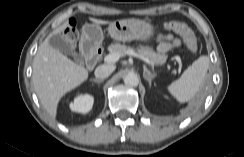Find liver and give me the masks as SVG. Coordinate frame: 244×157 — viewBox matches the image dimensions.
Here are the masks:
<instances>
[{
	"instance_id": "liver-1",
	"label": "liver",
	"mask_w": 244,
	"mask_h": 157,
	"mask_svg": "<svg viewBox=\"0 0 244 157\" xmlns=\"http://www.w3.org/2000/svg\"><path fill=\"white\" fill-rule=\"evenodd\" d=\"M90 20L97 25L109 23L95 18ZM67 26L63 24L40 44L32 65V83L35 92L52 118H56L61 98L85 82L89 76L84 66L76 64L49 44V38L64 31Z\"/></svg>"
}]
</instances>
